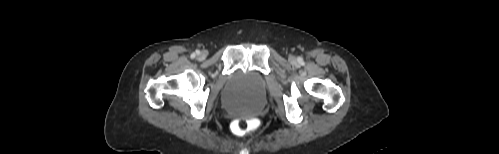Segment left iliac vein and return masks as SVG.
Returning a JSON list of instances; mask_svg holds the SVG:
<instances>
[{
    "label": "left iliac vein",
    "instance_id": "left-iliac-vein-1",
    "mask_svg": "<svg viewBox=\"0 0 499 154\" xmlns=\"http://www.w3.org/2000/svg\"><path fill=\"white\" fill-rule=\"evenodd\" d=\"M295 58L293 56L290 57V61H294Z\"/></svg>",
    "mask_w": 499,
    "mask_h": 154
}]
</instances>
